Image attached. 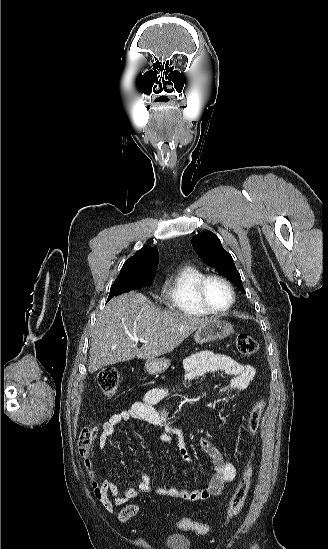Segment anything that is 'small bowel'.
Masks as SVG:
<instances>
[{
    "mask_svg": "<svg viewBox=\"0 0 328 549\" xmlns=\"http://www.w3.org/2000/svg\"><path fill=\"white\" fill-rule=\"evenodd\" d=\"M184 370V381H190L207 373L215 372H223L231 376L230 382L221 389V393L242 392L255 377V368L252 365L240 363L228 355L208 350L188 356L184 360ZM168 392L169 390L166 387L152 388L129 408L112 414L102 425L99 438L100 448L103 449L106 446L121 423L137 420L159 428L158 436L161 441L171 442L175 439L180 457L185 463H191L192 458L181 439V431L170 423L171 406L164 404L156 407L167 397ZM199 446L211 458L213 464L214 473L207 486L187 490L161 485L157 488L160 494L190 502L202 501L219 495L224 486L235 479V466L230 462H226L219 450L208 439L201 438ZM153 483L154 478L150 474L142 473L139 475L136 487L121 489L112 477L106 476L99 487V499L103 508L108 512H112L114 507L124 506L140 494L150 492Z\"/></svg>",
    "mask_w": 328,
    "mask_h": 549,
    "instance_id": "1",
    "label": "small bowel"
}]
</instances>
